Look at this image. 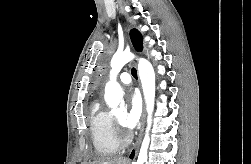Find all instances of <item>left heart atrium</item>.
Segmentation results:
<instances>
[{
    "instance_id": "39dd6f15",
    "label": "left heart atrium",
    "mask_w": 251,
    "mask_h": 164,
    "mask_svg": "<svg viewBox=\"0 0 251 164\" xmlns=\"http://www.w3.org/2000/svg\"><path fill=\"white\" fill-rule=\"evenodd\" d=\"M141 112H142V100L136 91H132L129 94V108L128 112L123 119V124L127 128H134L141 117Z\"/></svg>"
}]
</instances>
